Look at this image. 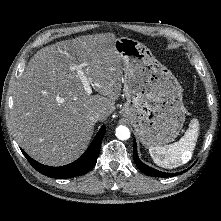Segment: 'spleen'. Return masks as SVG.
Listing matches in <instances>:
<instances>
[{
    "label": "spleen",
    "instance_id": "obj_1",
    "mask_svg": "<svg viewBox=\"0 0 221 221\" xmlns=\"http://www.w3.org/2000/svg\"><path fill=\"white\" fill-rule=\"evenodd\" d=\"M199 135V122L192 119L181 139L165 147L150 146L149 153L158 166L173 169L186 164L192 157Z\"/></svg>",
    "mask_w": 221,
    "mask_h": 221
}]
</instances>
